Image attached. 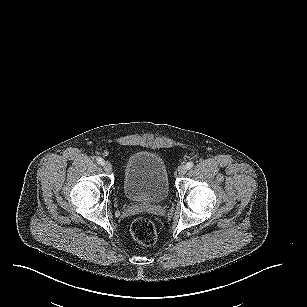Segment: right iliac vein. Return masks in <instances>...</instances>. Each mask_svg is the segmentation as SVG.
Segmentation results:
<instances>
[{"label":"right iliac vein","instance_id":"1","mask_svg":"<svg viewBox=\"0 0 307 307\" xmlns=\"http://www.w3.org/2000/svg\"><path fill=\"white\" fill-rule=\"evenodd\" d=\"M103 168L107 172H110V171H112V164L110 162L106 161V162L103 163Z\"/></svg>","mask_w":307,"mask_h":307}]
</instances>
